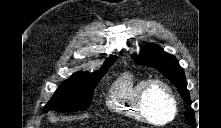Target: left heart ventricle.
Returning a JSON list of instances; mask_svg holds the SVG:
<instances>
[{
    "mask_svg": "<svg viewBox=\"0 0 221 128\" xmlns=\"http://www.w3.org/2000/svg\"><path fill=\"white\" fill-rule=\"evenodd\" d=\"M146 109L156 123L165 122L172 114V108L165 93L154 88L146 99Z\"/></svg>",
    "mask_w": 221,
    "mask_h": 128,
    "instance_id": "1",
    "label": "left heart ventricle"
}]
</instances>
